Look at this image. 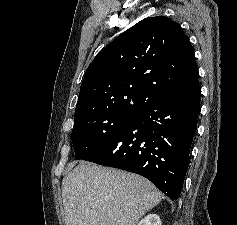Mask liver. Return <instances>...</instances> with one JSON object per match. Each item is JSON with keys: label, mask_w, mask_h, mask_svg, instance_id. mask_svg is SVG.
I'll list each match as a JSON object with an SVG mask.
<instances>
[{"label": "liver", "mask_w": 237, "mask_h": 225, "mask_svg": "<svg viewBox=\"0 0 237 225\" xmlns=\"http://www.w3.org/2000/svg\"><path fill=\"white\" fill-rule=\"evenodd\" d=\"M65 225H136L162 199L147 179L80 162L62 180Z\"/></svg>", "instance_id": "1"}]
</instances>
